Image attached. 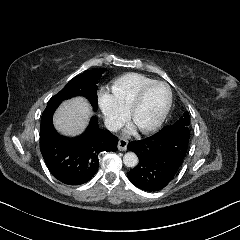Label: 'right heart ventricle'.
Listing matches in <instances>:
<instances>
[{
    "label": "right heart ventricle",
    "mask_w": 240,
    "mask_h": 240,
    "mask_svg": "<svg viewBox=\"0 0 240 240\" xmlns=\"http://www.w3.org/2000/svg\"><path fill=\"white\" fill-rule=\"evenodd\" d=\"M153 80L137 73H128L112 80L103 97L125 112L134 101L139 90Z\"/></svg>",
    "instance_id": "e07e8e85"
}]
</instances>
